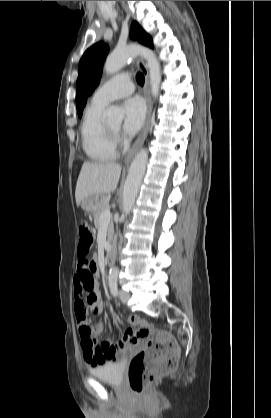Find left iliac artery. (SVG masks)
<instances>
[{"label": "left iliac artery", "instance_id": "left-iliac-artery-1", "mask_svg": "<svg viewBox=\"0 0 271 418\" xmlns=\"http://www.w3.org/2000/svg\"><path fill=\"white\" fill-rule=\"evenodd\" d=\"M109 288L111 294L116 297L118 295V285L116 280H110L109 281Z\"/></svg>", "mask_w": 271, "mask_h": 418}]
</instances>
